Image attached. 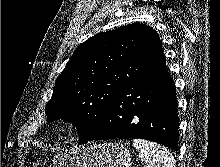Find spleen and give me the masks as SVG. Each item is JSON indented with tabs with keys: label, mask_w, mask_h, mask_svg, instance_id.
Wrapping results in <instances>:
<instances>
[{
	"label": "spleen",
	"mask_w": 220,
	"mask_h": 167,
	"mask_svg": "<svg viewBox=\"0 0 220 167\" xmlns=\"http://www.w3.org/2000/svg\"><path fill=\"white\" fill-rule=\"evenodd\" d=\"M132 144L144 167H176L174 157L165 147L144 139H133Z\"/></svg>",
	"instance_id": "1"
}]
</instances>
